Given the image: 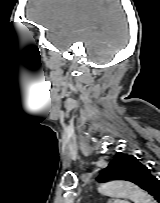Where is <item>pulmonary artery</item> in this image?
Listing matches in <instances>:
<instances>
[{
    "instance_id": "1",
    "label": "pulmonary artery",
    "mask_w": 160,
    "mask_h": 203,
    "mask_svg": "<svg viewBox=\"0 0 160 203\" xmlns=\"http://www.w3.org/2000/svg\"><path fill=\"white\" fill-rule=\"evenodd\" d=\"M114 203H130L128 200H115Z\"/></svg>"
}]
</instances>
